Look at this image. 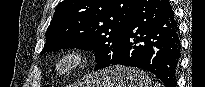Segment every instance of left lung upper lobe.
Segmentation results:
<instances>
[{"label":"left lung upper lobe","instance_id":"left-lung-upper-lobe-1","mask_svg":"<svg viewBox=\"0 0 205 87\" xmlns=\"http://www.w3.org/2000/svg\"><path fill=\"white\" fill-rule=\"evenodd\" d=\"M138 0H64L56 8L41 54L65 48L95 52V69L119 50Z\"/></svg>","mask_w":205,"mask_h":87}]
</instances>
